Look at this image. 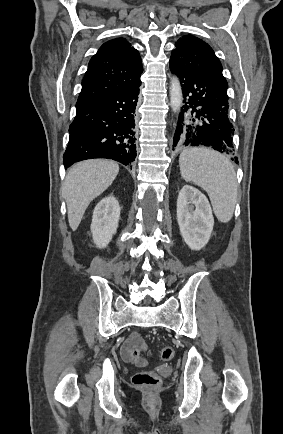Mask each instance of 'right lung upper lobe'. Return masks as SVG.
I'll return each mask as SVG.
<instances>
[{
  "instance_id": "obj_1",
  "label": "right lung upper lobe",
  "mask_w": 283,
  "mask_h": 434,
  "mask_svg": "<svg viewBox=\"0 0 283 434\" xmlns=\"http://www.w3.org/2000/svg\"><path fill=\"white\" fill-rule=\"evenodd\" d=\"M141 62L139 52L124 38L104 43L88 64L76 106L137 84Z\"/></svg>"
}]
</instances>
